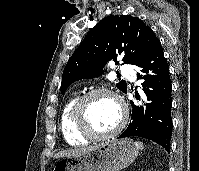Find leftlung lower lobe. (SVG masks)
Segmentation results:
<instances>
[{
  "label": "left lung lower lobe",
  "instance_id": "1",
  "mask_svg": "<svg viewBox=\"0 0 199 171\" xmlns=\"http://www.w3.org/2000/svg\"><path fill=\"white\" fill-rule=\"evenodd\" d=\"M138 79L143 80L140 95L141 104L132 106V117L126 130L118 137L139 136L156 142L170 152L172 136V84L169 65L158 40L137 65ZM126 93V92H125Z\"/></svg>",
  "mask_w": 199,
  "mask_h": 171
}]
</instances>
